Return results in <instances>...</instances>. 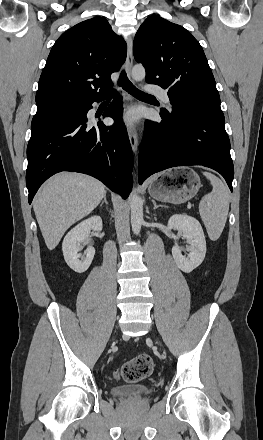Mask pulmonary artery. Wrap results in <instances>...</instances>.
<instances>
[{
	"label": "pulmonary artery",
	"instance_id": "e3ab8cb5",
	"mask_svg": "<svg viewBox=\"0 0 263 440\" xmlns=\"http://www.w3.org/2000/svg\"><path fill=\"white\" fill-rule=\"evenodd\" d=\"M149 92L158 95L164 103L170 105V98L167 91L161 87H150L147 89Z\"/></svg>",
	"mask_w": 263,
	"mask_h": 440
}]
</instances>
